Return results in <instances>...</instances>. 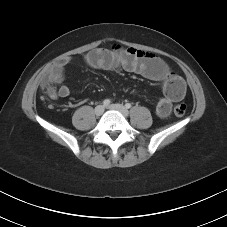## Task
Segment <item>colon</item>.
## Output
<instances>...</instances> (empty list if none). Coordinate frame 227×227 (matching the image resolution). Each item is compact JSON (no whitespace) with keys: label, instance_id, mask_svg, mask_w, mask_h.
<instances>
[{"label":"colon","instance_id":"1","mask_svg":"<svg viewBox=\"0 0 227 227\" xmlns=\"http://www.w3.org/2000/svg\"><path fill=\"white\" fill-rule=\"evenodd\" d=\"M41 86H42V89L48 94V96L52 98V96L55 93V89L52 86V82L50 80L44 78ZM173 112L177 117L184 116L186 113V105L185 104L175 105Z\"/></svg>","mask_w":227,"mask_h":227}]
</instances>
